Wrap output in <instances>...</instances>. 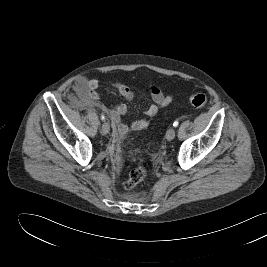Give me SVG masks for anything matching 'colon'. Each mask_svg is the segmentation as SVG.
Instances as JSON below:
<instances>
[{
    "instance_id": "obj_1",
    "label": "colon",
    "mask_w": 267,
    "mask_h": 267,
    "mask_svg": "<svg viewBox=\"0 0 267 267\" xmlns=\"http://www.w3.org/2000/svg\"><path fill=\"white\" fill-rule=\"evenodd\" d=\"M189 101L194 108H202L206 105L207 98L204 94L197 93L191 95ZM146 175H147L146 168L142 164L136 165L129 172L128 178L124 183V187L127 190L133 189L146 178Z\"/></svg>"
}]
</instances>
